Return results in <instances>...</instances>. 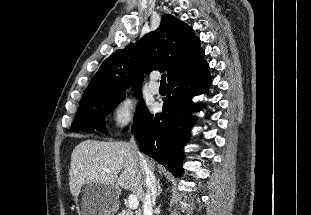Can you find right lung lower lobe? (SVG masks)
<instances>
[{
    "instance_id": "98d812e1",
    "label": "right lung lower lobe",
    "mask_w": 311,
    "mask_h": 215,
    "mask_svg": "<svg viewBox=\"0 0 311 215\" xmlns=\"http://www.w3.org/2000/svg\"><path fill=\"white\" fill-rule=\"evenodd\" d=\"M206 61L197 68L179 75L168 82V95L164 98L162 113L149 111L132 125V132L140 149L176 177L182 175V148L189 140L196 106L195 95L207 92L211 81Z\"/></svg>"
}]
</instances>
